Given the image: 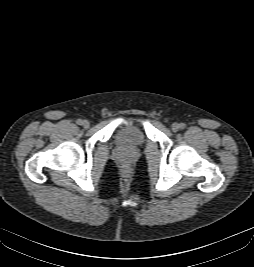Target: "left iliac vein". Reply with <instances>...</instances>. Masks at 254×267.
<instances>
[{"label": "left iliac vein", "mask_w": 254, "mask_h": 267, "mask_svg": "<svg viewBox=\"0 0 254 267\" xmlns=\"http://www.w3.org/2000/svg\"><path fill=\"white\" fill-rule=\"evenodd\" d=\"M171 129H172V131H174V132L178 131V129H179V124H177V123H173V124L171 125Z\"/></svg>", "instance_id": "1"}]
</instances>
